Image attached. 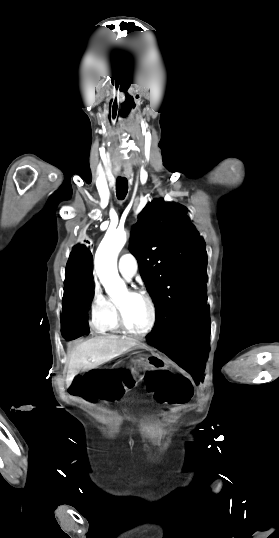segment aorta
<instances>
[{
  "label": "aorta",
  "instance_id": "1",
  "mask_svg": "<svg viewBox=\"0 0 279 538\" xmlns=\"http://www.w3.org/2000/svg\"><path fill=\"white\" fill-rule=\"evenodd\" d=\"M127 241V233L122 229L107 231L95 254V269L106 293L111 298H121L127 293L125 282L117 270L119 252Z\"/></svg>",
  "mask_w": 279,
  "mask_h": 538
}]
</instances>
